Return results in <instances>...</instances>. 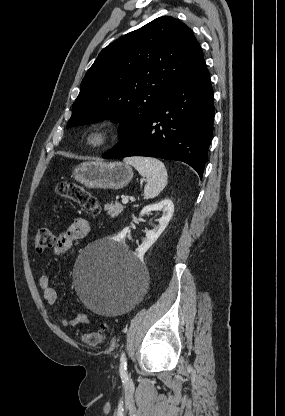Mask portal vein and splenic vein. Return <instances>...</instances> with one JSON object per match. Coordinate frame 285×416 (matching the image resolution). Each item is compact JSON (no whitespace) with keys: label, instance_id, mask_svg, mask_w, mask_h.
<instances>
[{"label":"portal vein and splenic vein","instance_id":"1","mask_svg":"<svg viewBox=\"0 0 285 416\" xmlns=\"http://www.w3.org/2000/svg\"><path fill=\"white\" fill-rule=\"evenodd\" d=\"M143 182H145V180H143ZM128 202H129L128 198H123L122 204H128Z\"/></svg>","mask_w":285,"mask_h":416}]
</instances>
